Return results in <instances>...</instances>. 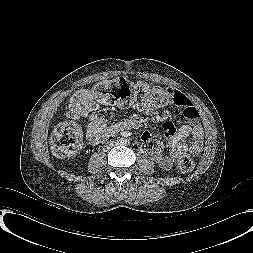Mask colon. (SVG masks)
<instances>
[{
    "label": "colon",
    "mask_w": 253,
    "mask_h": 253,
    "mask_svg": "<svg viewBox=\"0 0 253 253\" xmlns=\"http://www.w3.org/2000/svg\"><path fill=\"white\" fill-rule=\"evenodd\" d=\"M93 94L104 104L131 106L139 110L163 106L174 98L169 89L130 83L123 79L100 82L93 88ZM82 141L80 127L71 122H63L52 135V150L59 157L71 156L79 151ZM178 167L183 172L191 171L194 167L193 158L189 154H182L178 159Z\"/></svg>",
    "instance_id": "5ec220e1"
}]
</instances>
